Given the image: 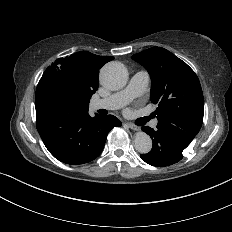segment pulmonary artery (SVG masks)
<instances>
[{
  "label": "pulmonary artery",
  "mask_w": 232,
  "mask_h": 232,
  "mask_svg": "<svg viewBox=\"0 0 232 232\" xmlns=\"http://www.w3.org/2000/svg\"><path fill=\"white\" fill-rule=\"evenodd\" d=\"M150 80V75L145 70H139L130 77V85L118 94H108L104 99L94 98L92 109H119L127 108L131 103L143 97L146 84ZM157 125V120L152 121V126Z\"/></svg>",
  "instance_id": "1"
}]
</instances>
